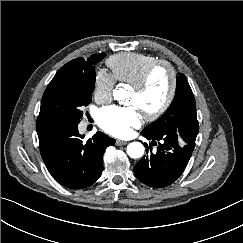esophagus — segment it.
<instances>
[{
    "label": "esophagus",
    "instance_id": "34e87169",
    "mask_svg": "<svg viewBox=\"0 0 243 243\" xmlns=\"http://www.w3.org/2000/svg\"><path fill=\"white\" fill-rule=\"evenodd\" d=\"M125 144H127V141L116 140V145H118V146L125 145Z\"/></svg>",
    "mask_w": 243,
    "mask_h": 243
}]
</instances>
